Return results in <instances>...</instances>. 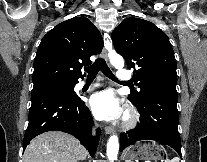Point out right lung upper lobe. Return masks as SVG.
I'll return each instance as SVG.
<instances>
[{
  "instance_id": "right-lung-upper-lobe-1",
  "label": "right lung upper lobe",
  "mask_w": 207,
  "mask_h": 162,
  "mask_svg": "<svg viewBox=\"0 0 207 162\" xmlns=\"http://www.w3.org/2000/svg\"><path fill=\"white\" fill-rule=\"evenodd\" d=\"M103 48L98 29L85 17L66 20L41 40L34 61L33 88L53 84H76L81 66Z\"/></svg>"
}]
</instances>
